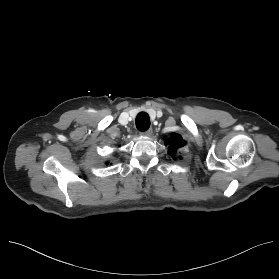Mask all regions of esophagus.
I'll list each match as a JSON object with an SVG mask.
<instances>
[{
    "label": "esophagus",
    "instance_id": "esophagus-1",
    "mask_svg": "<svg viewBox=\"0 0 279 279\" xmlns=\"http://www.w3.org/2000/svg\"><path fill=\"white\" fill-rule=\"evenodd\" d=\"M152 133H153V130L150 128L147 131L142 132L141 135L145 136V137H150L152 135Z\"/></svg>",
    "mask_w": 279,
    "mask_h": 279
}]
</instances>
